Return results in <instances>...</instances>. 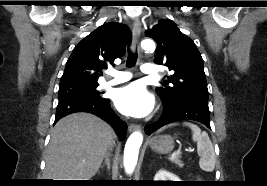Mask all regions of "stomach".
Returning a JSON list of instances; mask_svg holds the SVG:
<instances>
[{
  "mask_svg": "<svg viewBox=\"0 0 267 186\" xmlns=\"http://www.w3.org/2000/svg\"><path fill=\"white\" fill-rule=\"evenodd\" d=\"M153 151L167 154L174 148V139L170 135L155 136L148 142Z\"/></svg>",
  "mask_w": 267,
  "mask_h": 186,
  "instance_id": "1",
  "label": "stomach"
}]
</instances>
